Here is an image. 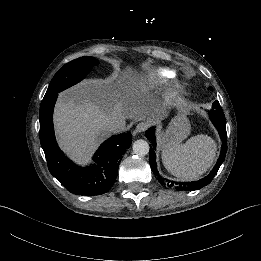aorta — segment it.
<instances>
[{
	"label": "aorta",
	"mask_w": 261,
	"mask_h": 261,
	"mask_svg": "<svg viewBox=\"0 0 261 261\" xmlns=\"http://www.w3.org/2000/svg\"><path fill=\"white\" fill-rule=\"evenodd\" d=\"M134 154L138 156H145L149 153V144L143 139H138L133 143L132 146Z\"/></svg>",
	"instance_id": "1"
}]
</instances>
